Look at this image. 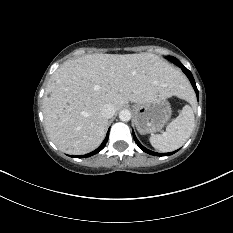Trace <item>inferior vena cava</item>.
Wrapping results in <instances>:
<instances>
[{"label":"inferior vena cava","instance_id":"inferior-vena-cava-1","mask_svg":"<svg viewBox=\"0 0 233 233\" xmlns=\"http://www.w3.org/2000/svg\"><path fill=\"white\" fill-rule=\"evenodd\" d=\"M115 111L114 105L106 104L101 109V115L106 119H110L115 114Z\"/></svg>","mask_w":233,"mask_h":233}]
</instances>
